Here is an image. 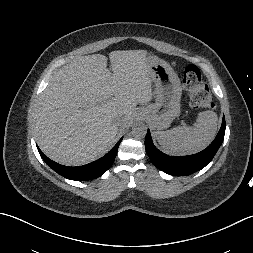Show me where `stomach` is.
<instances>
[{
    "label": "stomach",
    "instance_id": "stomach-1",
    "mask_svg": "<svg viewBox=\"0 0 253 253\" xmlns=\"http://www.w3.org/2000/svg\"><path fill=\"white\" fill-rule=\"evenodd\" d=\"M149 76L155 83L156 101L144 114L158 130L167 129L180 114L182 86L173 68L164 60L149 56Z\"/></svg>",
    "mask_w": 253,
    "mask_h": 253
}]
</instances>
